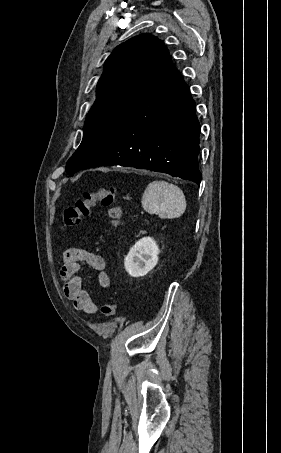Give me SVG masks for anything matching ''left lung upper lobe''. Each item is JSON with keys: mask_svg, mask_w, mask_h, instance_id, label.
<instances>
[{"mask_svg": "<svg viewBox=\"0 0 281 453\" xmlns=\"http://www.w3.org/2000/svg\"><path fill=\"white\" fill-rule=\"evenodd\" d=\"M169 52L151 34H142L117 46L107 58L98 81L96 101L87 114L83 140L67 162L73 175L91 162L116 134L149 90Z\"/></svg>", "mask_w": 281, "mask_h": 453, "instance_id": "5c2ea615", "label": "left lung upper lobe"}]
</instances>
